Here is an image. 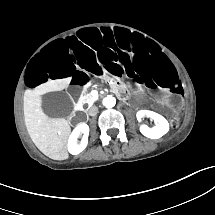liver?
<instances>
[{
	"label": "liver",
	"instance_id": "obj_1",
	"mask_svg": "<svg viewBox=\"0 0 215 215\" xmlns=\"http://www.w3.org/2000/svg\"><path fill=\"white\" fill-rule=\"evenodd\" d=\"M70 82L71 78L49 81L42 85L38 92L27 90L24 93L23 111L26 130L36 147L55 160L68 158L67 142L71 128L64 118H48L41 110L40 100H35L31 96L62 90L68 87Z\"/></svg>",
	"mask_w": 215,
	"mask_h": 215
}]
</instances>
